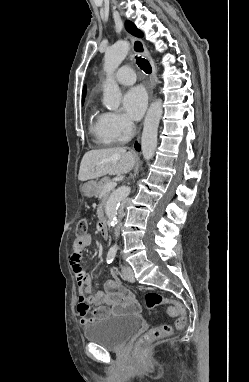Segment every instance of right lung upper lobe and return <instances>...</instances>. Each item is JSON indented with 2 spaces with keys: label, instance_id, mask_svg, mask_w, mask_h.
<instances>
[{
  "label": "right lung upper lobe",
  "instance_id": "cb5924a9",
  "mask_svg": "<svg viewBox=\"0 0 249 382\" xmlns=\"http://www.w3.org/2000/svg\"><path fill=\"white\" fill-rule=\"evenodd\" d=\"M85 93H86V88L84 87L83 94H82L83 98L85 97Z\"/></svg>",
  "mask_w": 249,
  "mask_h": 382
}]
</instances>
